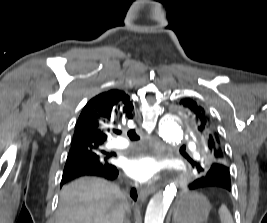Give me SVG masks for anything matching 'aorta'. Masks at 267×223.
<instances>
[{
  "label": "aorta",
  "mask_w": 267,
  "mask_h": 223,
  "mask_svg": "<svg viewBox=\"0 0 267 223\" xmlns=\"http://www.w3.org/2000/svg\"><path fill=\"white\" fill-rule=\"evenodd\" d=\"M159 135L164 141L172 145H178L183 139L180 118L176 115L165 116L159 125ZM177 193V185L171 183L165 187L163 192L155 194L147 206L144 223H163Z\"/></svg>",
  "instance_id": "762f6f07"
}]
</instances>
